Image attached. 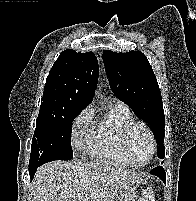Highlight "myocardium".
Masks as SVG:
<instances>
[{
  "instance_id": "obj_1",
  "label": "myocardium",
  "mask_w": 196,
  "mask_h": 201,
  "mask_svg": "<svg viewBox=\"0 0 196 201\" xmlns=\"http://www.w3.org/2000/svg\"><path fill=\"white\" fill-rule=\"evenodd\" d=\"M136 128H142L147 133L149 140H150V145H151L149 158L143 164H140V165H136L132 162L131 154H130V136ZM122 146H123L126 160L130 166L137 167V168L145 167L152 161V159L154 158V155L156 153L155 135H154L152 129L146 123H144L142 121H133V122L129 123L123 131Z\"/></svg>"
}]
</instances>
